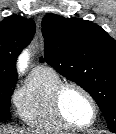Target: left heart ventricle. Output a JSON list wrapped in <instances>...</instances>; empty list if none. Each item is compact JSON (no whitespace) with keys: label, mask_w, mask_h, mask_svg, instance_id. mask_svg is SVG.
<instances>
[{"label":"left heart ventricle","mask_w":116,"mask_h":134,"mask_svg":"<svg viewBox=\"0 0 116 134\" xmlns=\"http://www.w3.org/2000/svg\"><path fill=\"white\" fill-rule=\"evenodd\" d=\"M62 104L65 114L73 122L86 125L92 120V106L87 97L77 89H67Z\"/></svg>","instance_id":"b2bd125f"}]
</instances>
